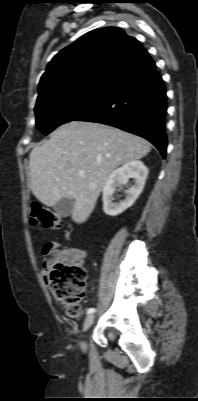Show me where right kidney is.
Returning <instances> with one entry per match:
<instances>
[{"instance_id":"obj_1","label":"right kidney","mask_w":198,"mask_h":401,"mask_svg":"<svg viewBox=\"0 0 198 401\" xmlns=\"http://www.w3.org/2000/svg\"><path fill=\"white\" fill-rule=\"evenodd\" d=\"M148 176V168L142 161L134 160L124 164L122 167L114 170L103 187V210L109 216H117L131 207L141 194L145 181ZM130 178L134 179V185L127 190L126 198L114 203L113 194L116 188H122L127 184Z\"/></svg>"}]
</instances>
